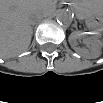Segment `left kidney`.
Instances as JSON below:
<instances>
[{"label":"left kidney","instance_id":"left-kidney-1","mask_svg":"<svg viewBox=\"0 0 103 103\" xmlns=\"http://www.w3.org/2000/svg\"><path fill=\"white\" fill-rule=\"evenodd\" d=\"M77 39H83L85 41L88 42V39H86V37L84 36V34L80 33V32H72L69 36V43L71 45V47H73V49L77 52H81L84 53L87 57H96L99 53V44L98 41L96 39H93L91 41V51L89 52L87 49H81L78 48L77 45Z\"/></svg>","mask_w":103,"mask_h":103}]
</instances>
